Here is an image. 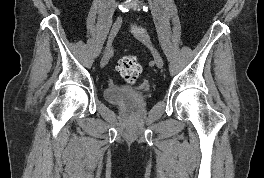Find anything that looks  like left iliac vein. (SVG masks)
<instances>
[{
  "label": "left iliac vein",
  "mask_w": 264,
  "mask_h": 178,
  "mask_svg": "<svg viewBox=\"0 0 264 178\" xmlns=\"http://www.w3.org/2000/svg\"><path fill=\"white\" fill-rule=\"evenodd\" d=\"M134 35L139 41H141L143 44H145L146 46H148L150 48V50L153 53V57H154V61H155L156 66L158 68H162L163 64H164L163 59H162L160 53L152 45L149 34L143 29L135 28L134 29Z\"/></svg>",
  "instance_id": "left-iliac-vein-1"
}]
</instances>
